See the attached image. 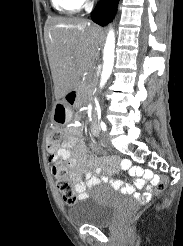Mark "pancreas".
I'll return each mask as SVG.
<instances>
[{
    "label": "pancreas",
    "mask_w": 183,
    "mask_h": 246,
    "mask_svg": "<svg viewBox=\"0 0 183 246\" xmlns=\"http://www.w3.org/2000/svg\"><path fill=\"white\" fill-rule=\"evenodd\" d=\"M83 88V86H80V89H82Z\"/></svg>",
    "instance_id": "cf45deb5"
}]
</instances>
